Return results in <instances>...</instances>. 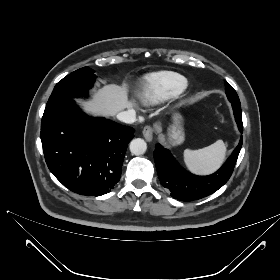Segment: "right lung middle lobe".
I'll list each match as a JSON object with an SVG mask.
<instances>
[{"label": "right lung middle lobe", "mask_w": 280, "mask_h": 280, "mask_svg": "<svg viewBox=\"0 0 280 280\" xmlns=\"http://www.w3.org/2000/svg\"><path fill=\"white\" fill-rule=\"evenodd\" d=\"M95 77L94 71L89 67H83L67 75L54 87L46 107L59 101L86 96L88 89L93 86Z\"/></svg>", "instance_id": "1"}]
</instances>
